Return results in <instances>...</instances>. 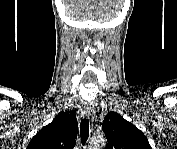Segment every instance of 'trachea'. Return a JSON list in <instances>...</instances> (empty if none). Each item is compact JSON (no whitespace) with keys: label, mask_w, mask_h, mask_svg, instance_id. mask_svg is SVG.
<instances>
[{"label":"trachea","mask_w":177,"mask_h":149,"mask_svg":"<svg viewBox=\"0 0 177 149\" xmlns=\"http://www.w3.org/2000/svg\"><path fill=\"white\" fill-rule=\"evenodd\" d=\"M80 137L83 145L86 144L89 137V120L82 119L80 124Z\"/></svg>","instance_id":"trachea-1"}]
</instances>
